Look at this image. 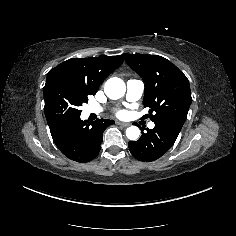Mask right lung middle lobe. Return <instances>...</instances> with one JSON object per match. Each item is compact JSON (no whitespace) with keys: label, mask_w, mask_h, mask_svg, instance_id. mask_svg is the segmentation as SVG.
<instances>
[{"label":"right lung middle lobe","mask_w":236,"mask_h":236,"mask_svg":"<svg viewBox=\"0 0 236 236\" xmlns=\"http://www.w3.org/2000/svg\"><path fill=\"white\" fill-rule=\"evenodd\" d=\"M45 116L50 130L79 117V107L88 102V92L64 77L47 79L43 88Z\"/></svg>","instance_id":"1"}]
</instances>
